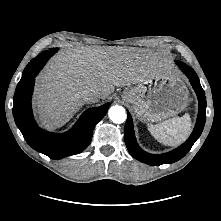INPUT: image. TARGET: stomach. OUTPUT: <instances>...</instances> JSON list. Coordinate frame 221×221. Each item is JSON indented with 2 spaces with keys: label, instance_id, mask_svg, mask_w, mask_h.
<instances>
[{
  "label": "stomach",
  "instance_id": "1",
  "mask_svg": "<svg viewBox=\"0 0 221 221\" xmlns=\"http://www.w3.org/2000/svg\"><path fill=\"white\" fill-rule=\"evenodd\" d=\"M121 97L131 104L137 117L144 122H159L172 117L188 104L184 81L169 70L158 72L124 90Z\"/></svg>",
  "mask_w": 221,
  "mask_h": 221
}]
</instances>
